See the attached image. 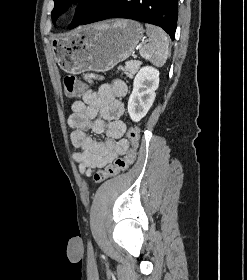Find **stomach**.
Segmentation results:
<instances>
[{
  "instance_id": "stomach-1",
  "label": "stomach",
  "mask_w": 247,
  "mask_h": 280,
  "mask_svg": "<svg viewBox=\"0 0 247 280\" xmlns=\"http://www.w3.org/2000/svg\"><path fill=\"white\" fill-rule=\"evenodd\" d=\"M134 20L114 19L77 29L53 41L60 67L67 73L105 72L126 60L143 37Z\"/></svg>"
}]
</instances>
